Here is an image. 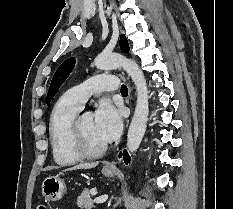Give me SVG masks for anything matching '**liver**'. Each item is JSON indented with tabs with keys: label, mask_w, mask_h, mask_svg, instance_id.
Instances as JSON below:
<instances>
[{
	"label": "liver",
	"mask_w": 233,
	"mask_h": 209,
	"mask_svg": "<svg viewBox=\"0 0 233 209\" xmlns=\"http://www.w3.org/2000/svg\"><path fill=\"white\" fill-rule=\"evenodd\" d=\"M98 165L97 162L95 163H83V164H79L76 166H73L71 168L65 169V171H72V170H79V169H91L94 168Z\"/></svg>",
	"instance_id": "6515ba94"
}]
</instances>
